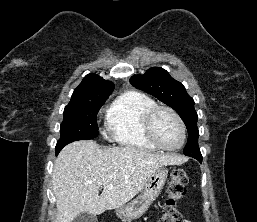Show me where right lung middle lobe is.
I'll return each instance as SVG.
<instances>
[{"mask_svg":"<svg viewBox=\"0 0 257 222\" xmlns=\"http://www.w3.org/2000/svg\"><path fill=\"white\" fill-rule=\"evenodd\" d=\"M106 99L91 98L70 101L64 109L56 151H60L73 141L93 139L98 136L96 116Z\"/></svg>","mask_w":257,"mask_h":222,"instance_id":"right-lung-middle-lobe-1","label":"right lung middle lobe"}]
</instances>
